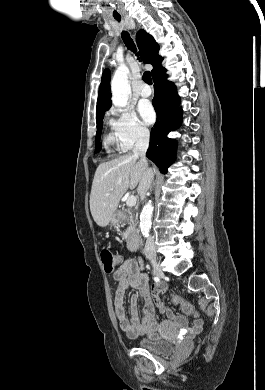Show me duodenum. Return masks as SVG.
<instances>
[{
    "label": "duodenum",
    "mask_w": 265,
    "mask_h": 390,
    "mask_svg": "<svg viewBox=\"0 0 265 390\" xmlns=\"http://www.w3.org/2000/svg\"><path fill=\"white\" fill-rule=\"evenodd\" d=\"M117 222H122L125 220V214L123 212H118L115 216ZM140 245V240L137 234L132 233L127 238V248L129 250H137Z\"/></svg>",
    "instance_id": "duodenum-1"
}]
</instances>
